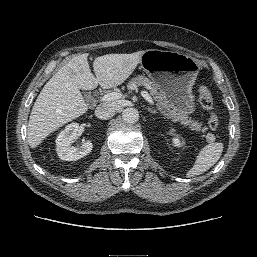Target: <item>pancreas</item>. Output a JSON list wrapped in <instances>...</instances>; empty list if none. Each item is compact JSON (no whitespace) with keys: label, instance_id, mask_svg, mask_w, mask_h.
Here are the masks:
<instances>
[{"label":"pancreas","instance_id":"pancreas-1","mask_svg":"<svg viewBox=\"0 0 257 257\" xmlns=\"http://www.w3.org/2000/svg\"><path fill=\"white\" fill-rule=\"evenodd\" d=\"M139 86H143L150 91L153 99L157 102L156 105L158 109L165 118L172 119L173 122H180L182 125L188 126L191 130L203 133L207 130L206 127L202 128L200 123L192 120L186 114L175 110L167 100L164 93L160 90L159 86L155 82L150 81L147 77L139 75L132 78L127 84V88L129 90H134ZM202 137H204V135Z\"/></svg>","mask_w":257,"mask_h":257}]
</instances>
